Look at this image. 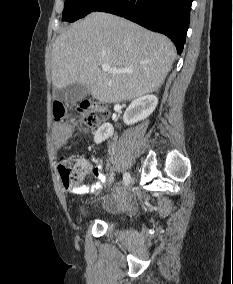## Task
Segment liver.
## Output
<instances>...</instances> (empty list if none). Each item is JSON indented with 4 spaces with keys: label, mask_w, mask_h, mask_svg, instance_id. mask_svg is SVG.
Masks as SVG:
<instances>
[{
    "label": "liver",
    "mask_w": 233,
    "mask_h": 284,
    "mask_svg": "<svg viewBox=\"0 0 233 284\" xmlns=\"http://www.w3.org/2000/svg\"><path fill=\"white\" fill-rule=\"evenodd\" d=\"M174 44L124 18L93 12L63 31L52 49V83L89 87L94 99L120 103L157 91L172 68ZM130 72L100 69L102 64Z\"/></svg>",
    "instance_id": "obj_1"
}]
</instances>
